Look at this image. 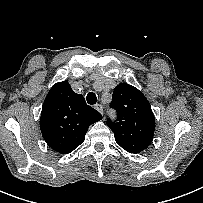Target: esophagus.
<instances>
[{
	"label": "esophagus",
	"mask_w": 203,
	"mask_h": 203,
	"mask_svg": "<svg viewBox=\"0 0 203 203\" xmlns=\"http://www.w3.org/2000/svg\"><path fill=\"white\" fill-rule=\"evenodd\" d=\"M95 109L103 115V106L101 104L95 105Z\"/></svg>",
	"instance_id": "obj_1"
}]
</instances>
